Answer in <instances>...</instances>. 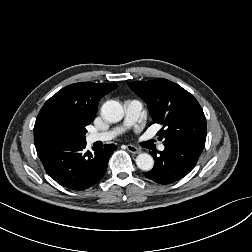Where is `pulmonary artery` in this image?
Returning a JSON list of instances; mask_svg holds the SVG:
<instances>
[{
	"label": "pulmonary artery",
	"mask_w": 252,
	"mask_h": 252,
	"mask_svg": "<svg viewBox=\"0 0 252 252\" xmlns=\"http://www.w3.org/2000/svg\"><path fill=\"white\" fill-rule=\"evenodd\" d=\"M124 107V120L123 123L108 131L94 132L87 135V142L94 143L98 141H108L117 135L121 134L125 129L134 125L140 118L142 113V103L138 100H126L123 104ZM165 146L159 145V150L163 151Z\"/></svg>",
	"instance_id": "obj_1"
}]
</instances>
